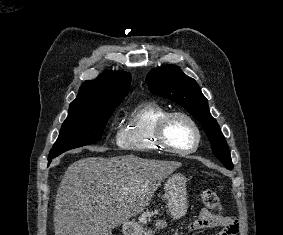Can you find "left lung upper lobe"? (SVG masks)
Masks as SVG:
<instances>
[{
	"label": "left lung upper lobe",
	"instance_id": "left-lung-upper-lobe-1",
	"mask_svg": "<svg viewBox=\"0 0 283 235\" xmlns=\"http://www.w3.org/2000/svg\"><path fill=\"white\" fill-rule=\"evenodd\" d=\"M146 82L150 91L178 103L195 116L208 136L213 154L221 162H232L219 125L210 114L208 100L194 79L186 76L179 67L167 65L151 70Z\"/></svg>",
	"mask_w": 283,
	"mask_h": 235
}]
</instances>
